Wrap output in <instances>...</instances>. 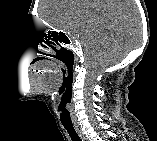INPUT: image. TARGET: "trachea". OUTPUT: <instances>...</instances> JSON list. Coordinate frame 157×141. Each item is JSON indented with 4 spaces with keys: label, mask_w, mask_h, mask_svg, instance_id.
Returning <instances> with one entry per match:
<instances>
[{
    "label": "trachea",
    "mask_w": 157,
    "mask_h": 141,
    "mask_svg": "<svg viewBox=\"0 0 157 141\" xmlns=\"http://www.w3.org/2000/svg\"><path fill=\"white\" fill-rule=\"evenodd\" d=\"M72 141H82L73 126H64Z\"/></svg>",
    "instance_id": "3493384b"
}]
</instances>
